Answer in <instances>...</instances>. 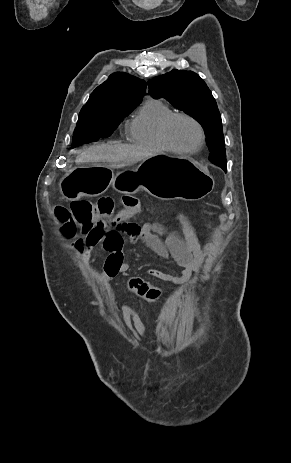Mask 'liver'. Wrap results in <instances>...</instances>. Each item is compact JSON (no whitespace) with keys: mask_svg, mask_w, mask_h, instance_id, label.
<instances>
[{"mask_svg":"<svg viewBox=\"0 0 291 463\" xmlns=\"http://www.w3.org/2000/svg\"><path fill=\"white\" fill-rule=\"evenodd\" d=\"M159 151L136 145L99 144L81 151L76 162L93 166L120 168L156 156Z\"/></svg>","mask_w":291,"mask_h":463,"instance_id":"1","label":"liver"}]
</instances>
